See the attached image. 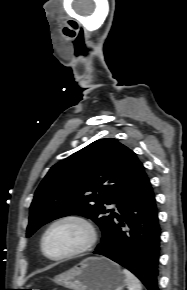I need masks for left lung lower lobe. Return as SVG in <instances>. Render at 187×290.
Returning <instances> with one entry per match:
<instances>
[{
	"instance_id": "0a47b994",
	"label": "left lung lower lobe",
	"mask_w": 187,
	"mask_h": 290,
	"mask_svg": "<svg viewBox=\"0 0 187 290\" xmlns=\"http://www.w3.org/2000/svg\"><path fill=\"white\" fill-rule=\"evenodd\" d=\"M118 210L121 216L116 214L94 253L130 270L148 290H159L161 229L155 195L147 176L124 197Z\"/></svg>"
}]
</instances>
